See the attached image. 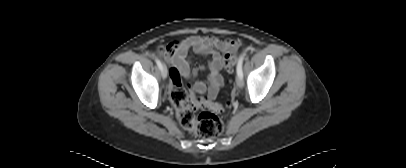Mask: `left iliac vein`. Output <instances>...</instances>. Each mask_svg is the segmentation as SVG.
<instances>
[{
	"mask_svg": "<svg viewBox=\"0 0 406 168\" xmlns=\"http://www.w3.org/2000/svg\"><path fill=\"white\" fill-rule=\"evenodd\" d=\"M236 85H237V87H239V88H242V87L244 86V81H243V78H242V77L237 76V78H236Z\"/></svg>",
	"mask_w": 406,
	"mask_h": 168,
	"instance_id": "obj_1",
	"label": "left iliac vein"
}]
</instances>
